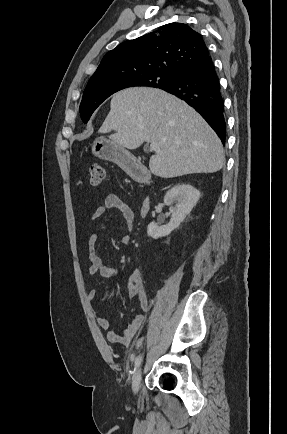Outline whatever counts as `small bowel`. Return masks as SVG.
<instances>
[{"instance_id":"c3829d8e","label":"small bowel","mask_w":287,"mask_h":434,"mask_svg":"<svg viewBox=\"0 0 287 434\" xmlns=\"http://www.w3.org/2000/svg\"><path fill=\"white\" fill-rule=\"evenodd\" d=\"M116 209L122 215L127 232L122 236L121 241L124 245H128L131 241L130 231L133 226L134 213L131 207L125 203L117 195H109L105 199V203L102 206L97 207L92 213V220H98L102 218L107 210ZM96 235L91 234L87 241L89 274L99 275L103 278H116L119 276V271L113 267L105 265L101 258L95 252ZM97 297V292L91 290L88 294V300L94 302ZM129 298L131 300H137L141 309V313L137 314L131 323L125 327L122 331L118 332L111 329V322L107 318L98 317L97 324L100 328L106 331L107 340L113 343L129 344L134 336L142 329L145 324V313L148 310V299L143 284L142 273L139 269H133L130 272L129 280Z\"/></svg>"}]
</instances>
